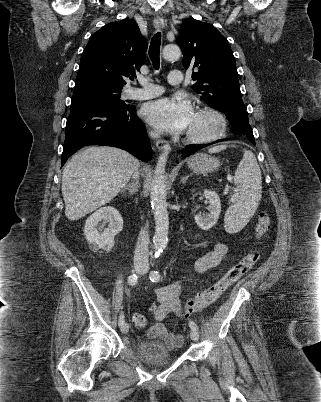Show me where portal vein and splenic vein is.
<instances>
[{
	"mask_svg": "<svg viewBox=\"0 0 321 402\" xmlns=\"http://www.w3.org/2000/svg\"><path fill=\"white\" fill-rule=\"evenodd\" d=\"M228 179H231V176H230V175H228Z\"/></svg>",
	"mask_w": 321,
	"mask_h": 402,
	"instance_id": "1",
	"label": "portal vein and splenic vein"
}]
</instances>
